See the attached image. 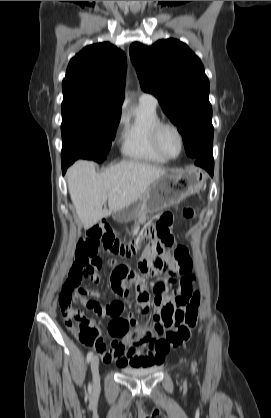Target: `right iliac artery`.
Returning <instances> with one entry per match:
<instances>
[{
    "label": "right iliac artery",
    "mask_w": 271,
    "mask_h": 418,
    "mask_svg": "<svg viewBox=\"0 0 271 418\" xmlns=\"http://www.w3.org/2000/svg\"><path fill=\"white\" fill-rule=\"evenodd\" d=\"M92 357H93V352H92V351H90V352L87 354V363H89V362L91 361ZM89 390H91V384L89 385Z\"/></svg>",
    "instance_id": "82829eb1"
}]
</instances>
